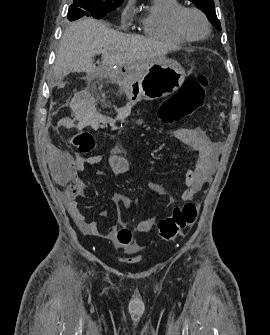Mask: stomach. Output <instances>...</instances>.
Masks as SVG:
<instances>
[{
    "label": "stomach",
    "mask_w": 270,
    "mask_h": 335,
    "mask_svg": "<svg viewBox=\"0 0 270 335\" xmlns=\"http://www.w3.org/2000/svg\"><path fill=\"white\" fill-rule=\"evenodd\" d=\"M141 72L140 67H134L129 70L128 77L126 68L116 70L117 76H123L122 88L130 106H135L141 100H158L170 96L181 88L186 78L184 68L166 58L152 60Z\"/></svg>",
    "instance_id": "0dacf381"
}]
</instances>
